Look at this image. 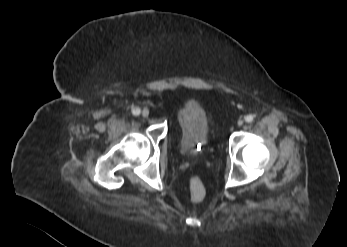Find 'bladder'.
I'll return each mask as SVG.
<instances>
[{
    "instance_id": "bladder-1",
    "label": "bladder",
    "mask_w": 347,
    "mask_h": 247,
    "mask_svg": "<svg viewBox=\"0 0 347 247\" xmlns=\"http://www.w3.org/2000/svg\"><path fill=\"white\" fill-rule=\"evenodd\" d=\"M180 125L179 146L186 156H196L198 147H205L210 139L209 121L202 108L189 100L178 112Z\"/></svg>"
}]
</instances>
